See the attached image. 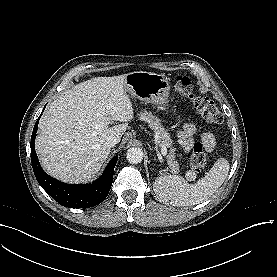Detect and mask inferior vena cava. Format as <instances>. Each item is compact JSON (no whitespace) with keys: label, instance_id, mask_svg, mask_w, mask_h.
<instances>
[{"label":"inferior vena cava","instance_id":"inferior-vena-cava-1","mask_svg":"<svg viewBox=\"0 0 277 277\" xmlns=\"http://www.w3.org/2000/svg\"><path fill=\"white\" fill-rule=\"evenodd\" d=\"M117 143H119V140L115 136H109L105 141V145L109 148L114 147Z\"/></svg>","mask_w":277,"mask_h":277}]
</instances>
